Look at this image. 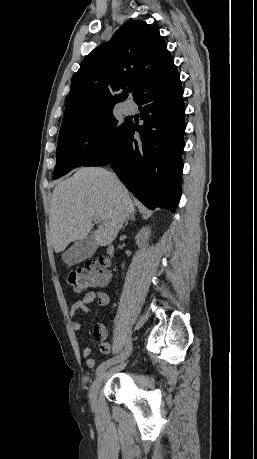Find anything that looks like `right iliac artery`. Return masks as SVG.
<instances>
[{
    "instance_id": "1",
    "label": "right iliac artery",
    "mask_w": 257,
    "mask_h": 459,
    "mask_svg": "<svg viewBox=\"0 0 257 459\" xmlns=\"http://www.w3.org/2000/svg\"><path fill=\"white\" fill-rule=\"evenodd\" d=\"M130 349V345H128L125 349V352ZM121 355L120 356H117V357H113L111 359H108L106 361H104L103 363H101L97 369H96V374L99 375L100 373L104 372L108 367H110L112 364L116 363L119 359H120Z\"/></svg>"
}]
</instances>
